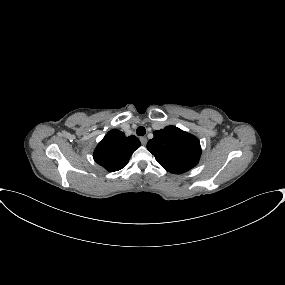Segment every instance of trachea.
Instances as JSON below:
<instances>
[{"mask_svg":"<svg viewBox=\"0 0 285 285\" xmlns=\"http://www.w3.org/2000/svg\"><path fill=\"white\" fill-rule=\"evenodd\" d=\"M138 136H144L146 134V129L143 126H139L136 130Z\"/></svg>","mask_w":285,"mask_h":285,"instance_id":"1","label":"trachea"}]
</instances>
